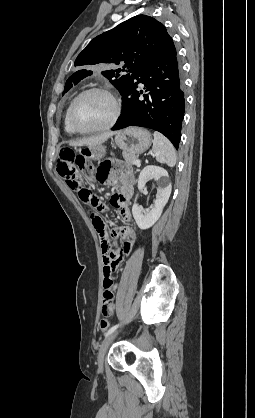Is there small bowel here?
<instances>
[{"label":"small bowel","mask_w":255,"mask_h":418,"mask_svg":"<svg viewBox=\"0 0 255 418\" xmlns=\"http://www.w3.org/2000/svg\"><path fill=\"white\" fill-rule=\"evenodd\" d=\"M117 160L118 157L114 156L113 160L104 161L98 168L96 178L101 182L119 184L118 192L111 197L110 202L116 208L120 218L128 221L130 219L128 202L133 194L134 179L131 171L124 169ZM97 233L101 236L99 247L101 248L100 254L103 256L104 273L103 295L99 313L105 320H110L114 314L115 285L113 276L115 273H120L122 263L126 264L128 262L126 256L135 254L139 235L134 233L130 226L118 230L116 228L99 227Z\"/></svg>","instance_id":"obj_1"}]
</instances>
